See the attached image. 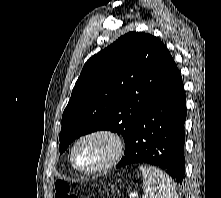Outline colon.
<instances>
[{
    "label": "colon",
    "instance_id": "colon-1",
    "mask_svg": "<svg viewBox=\"0 0 221 198\" xmlns=\"http://www.w3.org/2000/svg\"><path fill=\"white\" fill-rule=\"evenodd\" d=\"M55 198H78L73 189L65 181L55 183Z\"/></svg>",
    "mask_w": 221,
    "mask_h": 198
}]
</instances>
